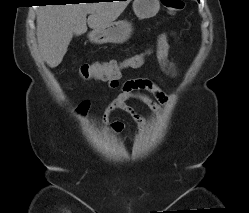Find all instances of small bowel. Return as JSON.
<instances>
[{
	"mask_svg": "<svg viewBox=\"0 0 249 213\" xmlns=\"http://www.w3.org/2000/svg\"><path fill=\"white\" fill-rule=\"evenodd\" d=\"M169 52V40L167 35H161L157 42L156 57L161 69L170 76L176 77L178 75L177 68L168 59ZM144 55H135L128 57L123 62L128 63V67H138L143 63ZM121 74L115 78L109 79V87L117 88L120 85ZM138 100L145 104L150 111L156 115L161 113V105H165L169 101V95L166 94L161 88L154 82L142 79L132 78L125 80L121 84V91L117 97L109 103L103 113V121L108 123L110 115L120 110L128 114L132 120L137 124L138 131L141 132L144 128L145 121L141 114L129 104L130 100ZM90 107L88 101L82 102L78 108L77 113L80 116H84ZM124 122L121 120H115L109 124V129L113 132H120L124 129Z\"/></svg>",
	"mask_w": 249,
	"mask_h": 213,
	"instance_id": "small-bowel-1",
	"label": "small bowel"
}]
</instances>
